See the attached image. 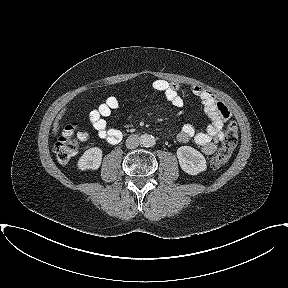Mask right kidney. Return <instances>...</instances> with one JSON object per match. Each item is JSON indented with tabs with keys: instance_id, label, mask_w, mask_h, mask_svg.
I'll use <instances>...</instances> for the list:
<instances>
[{
	"instance_id": "obj_1",
	"label": "right kidney",
	"mask_w": 288,
	"mask_h": 288,
	"mask_svg": "<svg viewBox=\"0 0 288 288\" xmlns=\"http://www.w3.org/2000/svg\"><path fill=\"white\" fill-rule=\"evenodd\" d=\"M102 161V150L93 147L84 152L78 161V167L81 170H96L100 167Z\"/></svg>"
}]
</instances>
